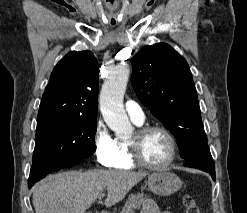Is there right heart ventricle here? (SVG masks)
Instances as JSON below:
<instances>
[{"instance_id": "right-heart-ventricle-1", "label": "right heart ventricle", "mask_w": 247, "mask_h": 213, "mask_svg": "<svg viewBox=\"0 0 247 213\" xmlns=\"http://www.w3.org/2000/svg\"><path fill=\"white\" fill-rule=\"evenodd\" d=\"M117 146L119 150V155L113 167L123 170L133 169L135 167V164L130 158L127 141L118 139Z\"/></svg>"}]
</instances>
